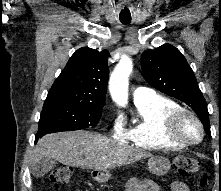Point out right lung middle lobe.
Masks as SVG:
<instances>
[{
    "instance_id": "1",
    "label": "right lung middle lobe",
    "mask_w": 221,
    "mask_h": 191,
    "mask_svg": "<svg viewBox=\"0 0 221 191\" xmlns=\"http://www.w3.org/2000/svg\"><path fill=\"white\" fill-rule=\"evenodd\" d=\"M102 115V107L91 104L61 103L44 105L37 137L47 133L71 131L95 126Z\"/></svg>"
}]
</instances>
